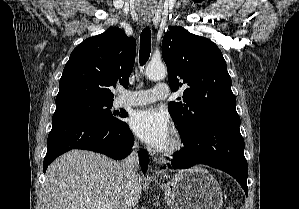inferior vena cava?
Listing matches in <instances>:
<instances>
[{
	"instance_id": "obj_1",
	"label": "inferior vena cava",
	"mask_w": 299,
	"mask_h": 209,
	"mask_svg": "<svg viewBox=\"0 0 299 209\" xmlns=\"http://www.w3.org/2000/svg\"><path fill=\"white\" fill-rule=\"evenodd\" d=\"M138 145L135 144L133 146V149L130 153V155L124 159L121 164L120 168L126 177L127 183L131 184V182L135 179L137 176V169L139 166V160H138ZM132 205L129 201H126L122 209H132Z\"/></svg>"
}]
</instances>
